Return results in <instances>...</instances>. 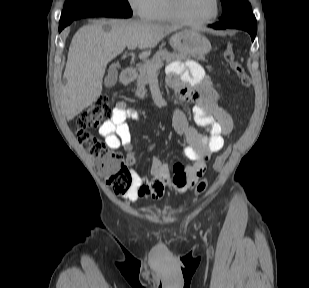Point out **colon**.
<instances>
[{
  "label": "colon",
  "instance_id": "obj_1",
  "mask_svg": "<svg viewBox=\"0 0 309 288\" xmlns=\"http://www.w3.org/2000/svg\"><path fill=\"white\" fill-rule=\"evenodd\" d=\"M224 59L240 83L245 88H250L251 79L243 64L237 59L232 46L229 45L224 50ZM111 115L112 107L108 96H98L77 117L76 133L79 143L92 156L95 167L106 185L115 193H126L132 186V175L127 168L126 160L122 154L111 150L105 142L87 131L97 127L102 121L111 117ZM230 151L231 148L228 147L216 157L212 164L214 171H218L223 167ZM207 186V178L201 179L196 186V193L198 195L202 194Z\"/></svg>",
  "mask_w": 309,
  "mask_h": 288
}]
</instances>
